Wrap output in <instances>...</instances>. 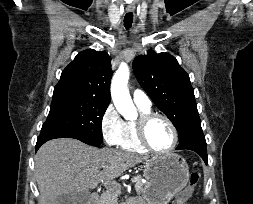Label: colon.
<instances>
[{
	"label": "colon",
	"instance_id": "obj_1",
	"mask_svg": "<svg viewBox=\"0 0 253 204\" xmlns=\"http://www.w3.org/2000/svg\"><path fill=\"white\" fill-rule=\"evenodd\" d=\"M200 175L196 172H193L189 176L188 184L179 192L174 204H185L186 201L191 197L194 188L196 187L199 181Z\"/></svg>",
	"mask_w": 253,
	"mask_h": 204
}]
</instances>
